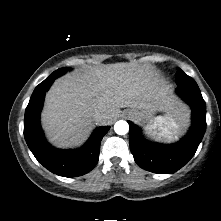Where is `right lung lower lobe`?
Masks as SVG:
<instances>
[{
    "label": "right lung lower lobe",
    "instance_id": "98d812e1",
    "mask_svg": "<svg viewBox=\"0 0 221 221\" xmlns=\"http://www.w3.org/2000/svg\"><path fill=\"white\" fill-rule=\"evenodd\" d=\"M53 81H43L35 88L25 111L24 137L35 158L46 169L63 177L81 176L97 164L101 140L110 127H98L85 145L77 150H59L52 147L41 129L40 112L45 94Z\"/></svg>",
    "mask_w": 221,
    "mask_h": 221
}]
</instances>
